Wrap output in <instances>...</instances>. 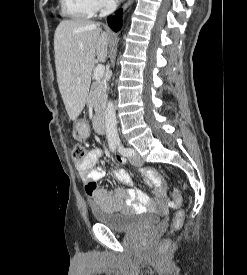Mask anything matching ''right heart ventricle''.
<instances>
[{
	"label": "right heart ventricle",
	"instance_id": "obj_1",
	"mask_svg": "<svg viewBox=\"0 0 247 275\" xmlns=\"http://www.w3.org/2000/svg\"><path fill=\"white\" fill-rule=\"evenodd\" d=\"M62 13L71 19H89L96 11L95 0H59Z\"/></svg>",
	"mask_w": 247,
	"mask_h": 275
}]
</instances>
